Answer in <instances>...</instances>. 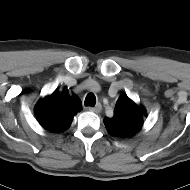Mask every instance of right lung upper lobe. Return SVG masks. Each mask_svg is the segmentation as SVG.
I'll list each match as a JSON object with an SVG mask.
<instances>
[{
	"label": "right lung upper lobe",
	"instance_id": "cb5924a9",
	"mask_svg": "<svg viewBox=\"0 0 190 190\" xmlns=\"http://www.w3.org/2000/svg\"><path fill=\"white\" fill-rule=\"evenodd\" d=\"M82 109L80 98L70 94L65 87L62 92L54 91L37 102L35 115L40 125L53 133L69 128L73 117Z\"/></svg>",
	"mask_w": 190,
	"mask_h": 190
}]
</instances>
